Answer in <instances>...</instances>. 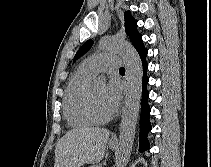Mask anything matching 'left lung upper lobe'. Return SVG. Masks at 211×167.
<instances>
[{
  "mask_svg": "<svg viewBox=\"0 0 211 167\" xmlns=\"http://www.w3.org/2000/svg\"><path fill=\"white\" fill-rule=\"evenodd\" d=\"M125 17V28H126V34L129 36L133 46L136 48L137 52L140 51H147V49L144 47L143 41H142V36L141 34L137 31V20H135L130 11H126L124 13ZM93 41L88 40L85 42L80 49L77 51L74 61L85 54L92 46Z\"/></svg>",
  "mask_w": 211,
  "mask_h": 167,
  "instance_id": "5c2ea615",
  "label": "left lung upper lobe"
}]
</instances>
